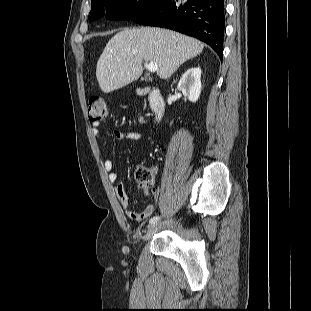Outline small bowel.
<instances>
[{
	"instance_id": "obj_1",
	"label": "small bowel",
	"mask_w": 311,
	"mask_h": 311,
	"mask_svg": "<svg viewBox=\"0 0 311 311\" xmlns=\"http://www.w3.org/2000/svg\"><path fill=\"white\" fill-rule=\"evenodd\" d=\"M91 132L93 135L98 136L100 134V123L95 122L92 124ZM114 138L118 141L128 140V141H140L142 139V134L137 131H122L115 130L113 132ZM104 169L108 174V180L111 183H115L118 180V174L114 171V163L111 159L104 161ZM143 193L146 197H149V191L147 187L143 188ZM115 194L119 203L121 204L126 216L134 221L145 222L154 212V204L149 203L146 208L140 212H136L130 205L128 195L125 191L123 184H118L115 186Z\"/></svg>"
}]
</instances>
